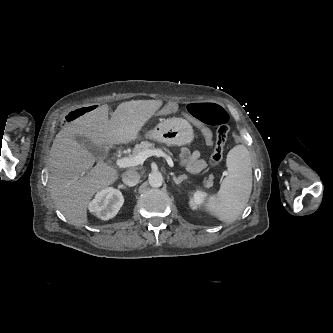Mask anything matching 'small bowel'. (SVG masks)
Listing matches in <instances>:
<instances>
[{"mask_svg": "<svg viewBox=\"0 0 333 333\" xmlns=\"http://www.w3.org/2000/svg\"><path fill=\"white\" fill-rule=\"evenodd\" d=\"M177 109H178L177 104L174 102H170L164 106L157 107L155 113L159 117H166L169 114L176 112ZM186 119L190 121L197 128H200L202 126V123L198 119H196L192 114H188L186 116ZM201 131L203 139L207 141L205 143V146L207 148H211L213 146V143L211 141H208L210 139L208 127L206 125H203L201 127ZM181 157L187 169L192 173H198L205 168V163L200 158V154L197 151L189 152L187 150H183Z\"/></svg>", "mask_w": 333, "mask_h": 333, "instance_id": "obj_1", "label": "small bowel"}]
</instances>
